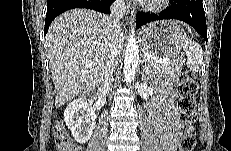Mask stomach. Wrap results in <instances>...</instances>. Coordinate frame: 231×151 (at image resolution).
I'll return each mask as SVG.
<instances>
[{"label": "stomach", "mask_w": 231, "mask_h": 151, "mask_svg": "<svg viewBox=\"0 0 231 151\" xmlns=\"http://www.w3.org/2000/svg\"><path fill=\"white\" fill-rule=\"evenodd\" d=\"M183 34L177 21H157L142 30V46L156 56L177 57L183 49L179 39Z\"/></svg>", "instance_id": "1"}]
</instances>
